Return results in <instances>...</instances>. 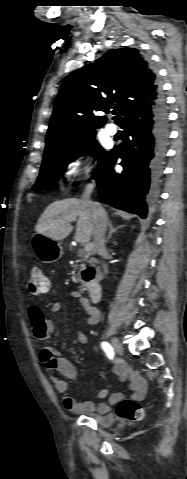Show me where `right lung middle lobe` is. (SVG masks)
<instances>
[{"label": "right lung middle lobe", "mask_w": 187, "mask_h": 479, "mask_svg": "<svg viewBox=\"0 0 187 479\" xmlns=\"http://www.w3.org/2000/svg\"><path fill=\"white\" fill-rule=\"evenodd\" d=\"M86 154L97 157L98 167L103 164L108 155V151L97 145L95 132L85 135L72 144L45 150L40 174L33 189L44 190L54 185L71 161Z\"/></svg>", "instance_id": "1"}]
</instances>
